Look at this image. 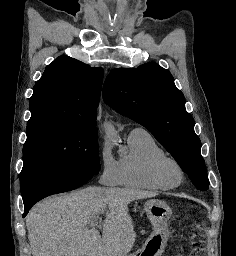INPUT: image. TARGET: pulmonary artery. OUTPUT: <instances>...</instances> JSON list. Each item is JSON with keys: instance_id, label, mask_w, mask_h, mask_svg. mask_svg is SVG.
<instances>
[{"instance_id": "e3ab8cb5", "label": "pulmonary artery", "mask_w": 236, "mask_h": 256, "mask_svg": "<svg viewBox=\"0 0 236 256\" xmlns=\"http://www.w3.org/2000/svg\"><path fill=\"white\" fill-rule=\"evenodd\" d=\"M139 128H132V129H130V133H132V132H134V131H136V130H138Z\"/></svg>"}]
</instances>
